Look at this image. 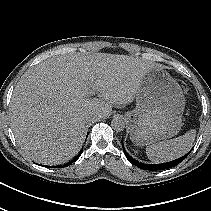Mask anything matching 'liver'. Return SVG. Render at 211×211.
<instances>
[{"label":"liver","mask_w":211,"mask_h":211,"mask_svg":"<svg viewBox=\"0 0 211 211\" xmlns=\"http://www.w3.org/2000/svg\"><path fill=\"white\" fill-rule=\"evenodd\" d=\"M155 65L127 55L58 56L28 69L10 103L17 144L35 162L58 165L81 149L86 117L110 115L131 103L145 73ZM88 91L99 98L90 99Z\"/></svg>","instance_id":"obj_1"}]
</instances>
